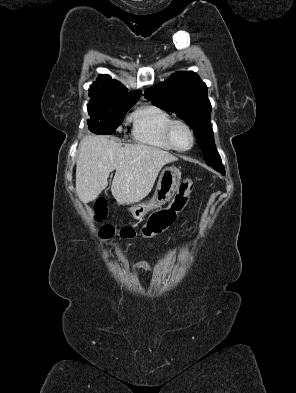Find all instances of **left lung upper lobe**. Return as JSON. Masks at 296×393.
Listing matches in <instances>:
<instances>
[{
    "label": "left lung upper lobe",
    "mask_w": 296,
    "mask_h": 393,
    "mask_svg": "<svg viewBox=\"0 0 296 393\" xmlns=\"http://www.w3.org/2000/svg\"><path fill=\"white\" fill-rule=\"evenodd\" d=\"M145 97L157 107L178 114L193 129L206 163L225 174L215 147L207 86L196 73H174L167 81L147 89Z\"/></svg>",
    "instance_id": "left-lung-upper-lobe-1"
}]
</instances>
